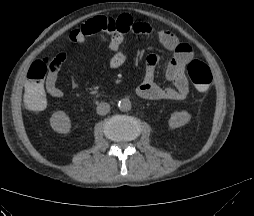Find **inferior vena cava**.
<instances>
[{
	"label": "inferior vena cava",
	"mask_w": 254,
	"mask_h": 216,
	"mask_svg": "<svg viewBox=\"0 0 254 216\" xmlns=\"http://www.w3.org/2000/svg\"><path fill=\"white\" fill-rule=\"evenodd\" d=\"M96 111L99 115H106L110 111V105L108 103L101 102L97 105Z\"/></svg>",
	"instance_id": "inferior-vena-cava-1"
}]
</instances>
